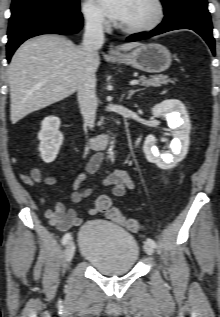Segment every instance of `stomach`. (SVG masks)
Masks as SVG:
<instances>
[{
  "instance_id": "0dacf381",
  "label": "stomach",
  "mask_w": 220,
  "mask_h": 317,
  "mask_svg": "<svg viewBox=\"0 0 220 317\" xmlns=\"http://www.w3.org/2000/svg\"><path fill=\"white\" fill-rule=\"evenodd\" d=\"M113 60L144 72L160 73L170 67L172 56L165 46L150 43L138 46L129 54L115 56Z\"/></svg>"
}]
</instances>
